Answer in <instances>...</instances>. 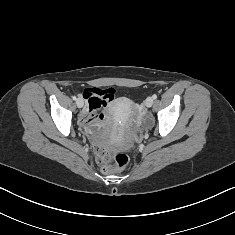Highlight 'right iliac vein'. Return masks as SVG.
Instances as JSON below:
<instances>
[{
  "label": "right iliac vein",
  "mask_w": 235,
  "mask_h": 235,
  "mask_svg": "<svg viewBox=\"0 0 235 235\" xmlns=\"http://www.w3.org/2000/svg\"><path fill=\"white\" fill-rule=\"evenodd\" d=\"M76 104H77L78 108H82L84 105V102L81 98H79V99H77Z\"/></svg>",
  "instance_id": "obj_1"
}]
</instances>
